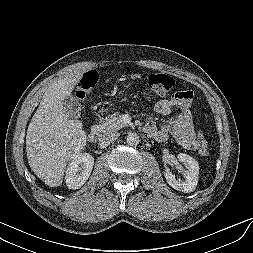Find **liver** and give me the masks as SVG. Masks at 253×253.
<instances>
[{"label":"liver","mask_w":253,"mask_h":253,"mask_svg":"<svg viewBox=\"0 0 253 253\" xmlns=\"http://www.w3.org/2000/svg\"><path fill=\"white\" fill-rule=\"evenodd\" d=\"M85 70L80 68L48 87L27 129L29 166L50 187L62 184L66 165L87 143L82 123L69 118L63 108V100L70 96Z\"/></svg>","instance_id":"liver-1"}]
</instances>
